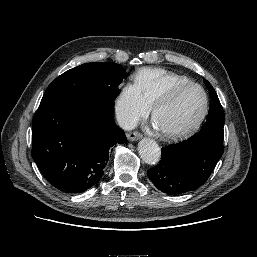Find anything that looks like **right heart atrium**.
I'll return each instance as SVG.
<instances>
[{
  "instance_id": "right-heart-atrium-1",
  "label": "right heart atrium",
  "mask_w": 257,
  "mask_h": 257,
  "mask_svg": "<svg viewBox=\"0 0 257 257\" xmlns=\"http://www.w3.org/2000/svg\"><path fill=\"white\" fill-rule=\"evenodd\" d=\"M115 111L120 123L131 127L149 113L150 106L135 83H126L115 100Z\"/></svg>"
}]
</instances>
